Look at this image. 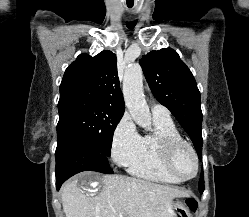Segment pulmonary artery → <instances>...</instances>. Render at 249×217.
Returning <instances> with one entry per match:
<instances>
[{
	"mask_svg": "<svg viewBox=\"0 0 249 217\" xmlns=\"http://www.w3.org/2000/svg\"><path fill=\"white\" fill-rule=\"evenodd\" d=\"M152 115L153 117H158V118H164V119L170 118L169 110L161 104H154L152 106Z\"/></svg>",
	"mask_w": 249,
	"mask_h": 217,
	"instance_id": "obj_1",
	"label": "pulmonary artery"
}]
</instances>
